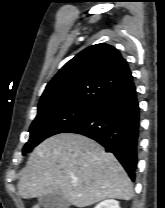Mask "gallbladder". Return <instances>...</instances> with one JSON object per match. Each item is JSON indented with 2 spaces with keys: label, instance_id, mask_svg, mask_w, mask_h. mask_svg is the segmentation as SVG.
Masks as SVG:
<instances>
[{
  "label": "gallbladder",
  "instance_id": "gallbladder-1",
  "mask_svg": "<svg viewBox=\"0 0 165 208\" xmlns=\"http://www.w3.org/2000/svg\"><path fill=\"white\" fill-rule=\"evenodd\" d=\"M38 203L43 208H69L70 203L65 199L61 192H53L42 195Z\"/></svg>",
  "mask_w": 165,
  "mask_h": 208
}]
</instances>
